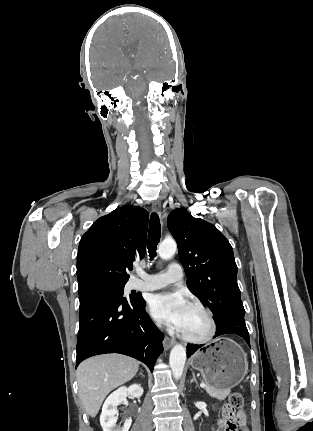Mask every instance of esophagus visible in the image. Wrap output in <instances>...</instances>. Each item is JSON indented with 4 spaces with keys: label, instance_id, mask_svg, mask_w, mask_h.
<instances>
[{
    "label": "esophagus",
    "instance_id": "esophagus-1",
    "mask_svg": "<svg viewBox=\"0 0 313 431\" xmlns=\"http://www.w3.org/2000/svg\"><path fill=\"white\" fill-rule=\"evenodd\" d=\"M152 210L154 212L159 213L161 211V203L159 200H155L152 203ZM175 344V341L173 339H170L169 337L164 338V346L166 349L171 348Z\"/></svg>",
    "mask_w": 313,
    "mask_h": 431
}]
</instances>
